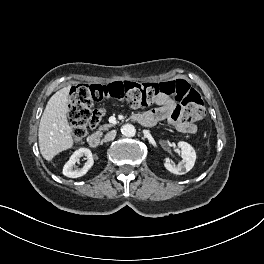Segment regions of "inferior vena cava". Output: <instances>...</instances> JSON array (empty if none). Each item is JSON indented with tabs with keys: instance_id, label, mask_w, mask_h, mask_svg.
<instances>
[{
	"instance_id": "obj_1",
	"label": "inferior vena cava",
	"mask_w": 264,
	"mask_h": 264,
	"mask_svg": "<svg viewBox=\"0 0 264 264\" xmlns=\"http://www.w3.org/2000/svg\"><path fill=\"white\" fill-rule=\"evenodd\" d=\"M115 136H116V131H115V130H112V131L108 132V133L104 136L103 141H104V142L112 141V140H114Z\"/></svg>"
}]
</instances>
